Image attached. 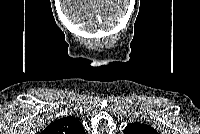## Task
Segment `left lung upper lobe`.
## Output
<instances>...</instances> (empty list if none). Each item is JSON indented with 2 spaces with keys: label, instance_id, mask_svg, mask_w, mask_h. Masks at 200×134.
I'll return each instance as SVG.
<instances>
[{
  "label": "left lung upper lobe",
  "instance_id": "5c2ea615",
  "mask_svg": "<svg viewBox=\"0 0 200 134\" xmlns=\"http://www.w3.org/2000/svg\"><path fill=\"white\" fill-rule=\"evenodd\" d=\"M125 134H157V131L148 125L136 122L125 128Z\"/></svg>",
  "mask_w": 200,
  "mask_h": 134
}]
</instances>
